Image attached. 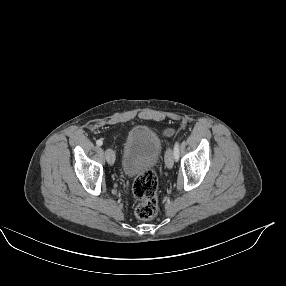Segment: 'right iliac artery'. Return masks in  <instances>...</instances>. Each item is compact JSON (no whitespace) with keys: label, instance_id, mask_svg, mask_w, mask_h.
<instances>
[{"label":"right iliac artery","instance_id":"obj_1","mask_svg":"<svg viewBox=\"0 0 286 286\" xmlns=\"http://www.w3.org/2000/svg\"><path fill=\"white\" fill-rule=\"evenodd\" d=\"M96 144H97L98 146H101V145L103 144V141H102L101 139H99V140L96 141Z\"/></svg>","mask_w":286,"mask_h":286}]
</instances>
